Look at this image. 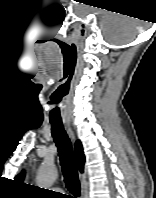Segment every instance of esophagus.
Masks as SVG:
<instances>
[{"label":"esophagus","instance_id":"1","mask_svg":"<svg viewBox=\"0 0 156 198\" xmlns=\"http://www.w3.org/2000/svg\"><path fill=\"white\" fill-rule=\"evenodd\" d=\"M66 127L68 129V133H69L70 137L74 140V134H73V131H72L70 125L66 124ZM81 198H86V192H85L84 186H82V188H81Z\"/></svg>","mask_w":156,"mask_h":198}]
</instances>
